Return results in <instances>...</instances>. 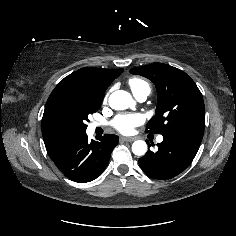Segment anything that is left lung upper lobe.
I'll return each mask as SVG.
<instances>
[{
	"mask_svg": "<svg viewBox=\"0 0 236 236\" xmlns=\"http://www.w3.org/2000/svg\"><path fill=\"white\" fill-rule=\"evenodd\" d=\"M130 73L150 79L157 89L156 115L146 125V132L163 135L183 129H204L203 97L185 72L159 63L133 68Z\"/></svg>",
	"mask_w": 236,
	"mask_h": 236,
	"instance_id": "left-lung-upper-lobe-1",
	"label": "left lung upper lobe"
}]
</instances>
